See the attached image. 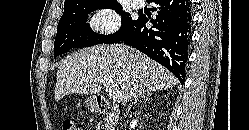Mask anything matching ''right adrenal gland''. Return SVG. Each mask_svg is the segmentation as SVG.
I'll use <instances>...</instances> for the list:
<instances>
[{
	"label": "right adrenal gland",
	"instance_id": "1",
	"mask_svg": "<svg viewBox=\"0 0 249 130\" xmlns=\"http://www.w3.org/2000/svg\"><path fill=\"white\" fill-rule=\"evenodd\" d=\"M152 92H148L147 95H143L141 96V98H143L145 101H148L149 100V97L151 96ZM139 98H137L133 103L132 105H130V107L128 108V111L126 113V115L129 114V112L131 111V108L134 104H136L138 102Z\"/></svg>",
	"mask_w": 249,
	"mask_h": 130
}]
</instances>
